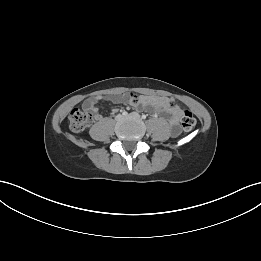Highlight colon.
<instances>
[{
    "label": "colon",
    "mask_w": 261,
    "mask_h": 261,
    "mask_svg": "<svg viewBox=\"0 0 261 261\" xmlns=\"http://www.w3.org/2000/svg\"><path fill=\"white\" fill-rule=\"evenodd\" d=\"M93 121V115L90 112L75 108L69 115V126L73 132L84 131ZM181 125L184 131H191L196 125V119L188 109L182 110Z\"/></svg>",
    "instance_id": "1"
}]
</instances>
